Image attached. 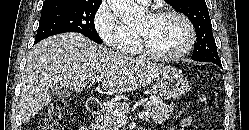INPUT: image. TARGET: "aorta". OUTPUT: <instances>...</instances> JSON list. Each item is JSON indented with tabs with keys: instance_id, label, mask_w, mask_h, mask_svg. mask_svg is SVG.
<instances>
[{
	"instance_id": "762f6f07",
	"label": "aorta",
	"mask_w": 249,
	"mask_h": 130,
	"mask_svg": "<svg viewBox=\"0 0 249 130\" xmlns=\"http://www.w3.org/2000/svg\"><path fill=\"white\" fill-rule=\"evenodd\" d=\"M114 14L125 23L137 22L143 15L144 9L134 0H107Z\"/></svg>"
}]
</instances>
